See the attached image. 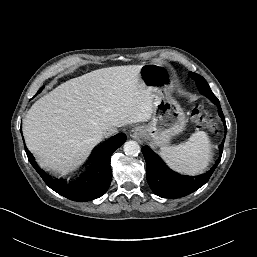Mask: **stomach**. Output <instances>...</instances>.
<instances>
[{"label":"stomach","instance_id":"1","mask_svg":"<svg viewBox=\"0 0 257 257\" xmlns=\"http://www.w3.org/2000/svg\"><path fill=\"white\" fill-rule=\"evenodd\" d=\"M139 77L155 94L151 121L140 126L143 136L155 146L168 145L184 131L187 122L182 107L172 96L174 71L165 62L152 61L140 66Z\"/></svg>","mask_w":257,"mask_h":257}]
</instances>
